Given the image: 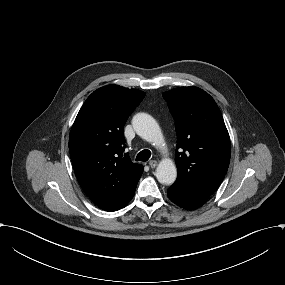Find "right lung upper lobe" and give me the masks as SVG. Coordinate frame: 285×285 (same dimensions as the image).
<instances>
[{
	"mask_svg": "<svg viewBox=\"0 0 285 285\" xmlns=\"http://www.w3.org/2000/svg\"><path fill=\"white\" fill-rule=\"evenodd\" d=\"M145 93L118 85L95 90L81 107L69 138L76 177L86 195L112 212L133 196L143 172L124 153L123 127Z\"/></svg>",
	"mask_w": 285,
	"mask_h": 285,
	"instance_id": "cb5924a9",
	"label": "right lung upper lobe"
}]
</instances>
